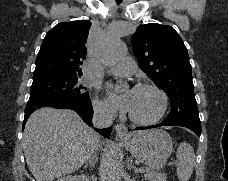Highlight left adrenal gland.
<instances>
[{"mask_svg":"<svg viewBox=\"0 0 228 181\" xmlns=\"http://www.w3.org/2000/svg\"><path fill=\"white\" fill-rule=\"evenodd\" d=\"M126 169H128V171H130V169H132L133 173H138L136 167H134V165H132V159H129V163H128Z\"/></svg>","mask_w":228,"mask_h":181,"instance_id":"obj_1","label":"left adrenal gland"}]
</instances>
